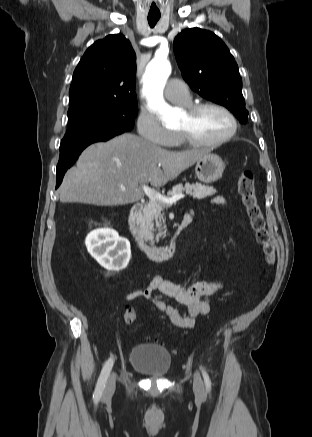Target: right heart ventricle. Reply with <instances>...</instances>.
I'll use <instances>...</instances> for the list:
<instances>
[{
    "mask_svg": "<svg viewBox=\"0 0 312 437\" xmlns=\"http://www.w3.org/2000/svg\"><path fill=\"white\" fill-rule=\"evenodd\" d=\"M179 143H181V139H180V137L178 135H176L173 144H179Z\"/></svg>",
    "mask_w": 312,
    "mask_h": 437,
    "instance_id": "e07e8e85",
    "label": "right heart ventricle"
}]
</instances>
